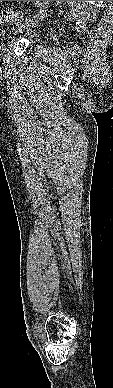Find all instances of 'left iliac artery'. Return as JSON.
<instances>
[{
  "label": "left iliac artery",
  "instance_id": "44dca946",
  "mask_svg": "<svg viewBox=\"0 0 113 388\" xmlns=\"http://www.w3.org/2000/svg\"><path fill=\"white\" fill-rule=\"evenodd\" d=\"M41 1H37V6L40 7L41 6Z\"/></svg>",
  "mask_w": 113,
  "mask_h": 388
}]
</instances>
